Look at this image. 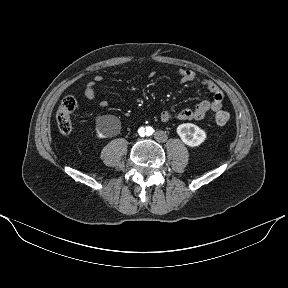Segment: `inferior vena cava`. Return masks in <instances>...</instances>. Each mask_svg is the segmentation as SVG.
Segmentation results:
<instances>
[{"mask_svg": "<svg viewBox=\"0 0 288 288\" xmlns=\"http://www.w3.org/2000/svg\"><path fill=\"white\" fill-rule=\"evenodd\" d=\"M154 141L157 144H164L167 141V133L163 129H158L154 133Z\"/></svg>", "mask_w": 288, "mask_h": 288, "instance_id": "obj_1", "label": "inferior vena cava"}]
</instances>
